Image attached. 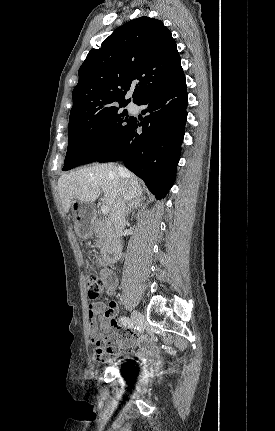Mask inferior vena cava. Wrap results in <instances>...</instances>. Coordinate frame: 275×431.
Returning <instances> with one entry per match:
<instances>
[{
    "label": "inferior vena cava",
    "mask_w": 275,
    "mask_h": 431,
    "mask_svg": "<svg viewBox=\"0 0 275 431\" xmlns=\"http://www.w3.org/2000/svg\"><path fill=\"white\" fill-rule=\"evenodd\" d=\"M118 172L120 175H124V169L118 168ZM122 186H121V195L117 199L116 203L114 204V207L110 213V218L113 223L115 232L118 236L122 235V231L125 226V194L127 192V185L128 181L123 179L122 180Z\"/></svg>",
    "instance_id": "obj_1"
}]
</instances>
